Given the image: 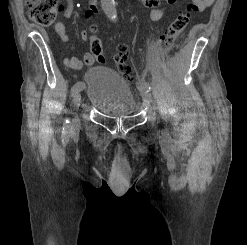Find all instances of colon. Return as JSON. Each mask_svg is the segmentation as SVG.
Returning a JSON list of instances; mask_svg holds the SVG:
<instances>
[{
    "mask_svg": "<svg viewBox=\"0 0 247 245\" xmlns=\"http://www.w3.org/2000/svg\"><path fill=\"white\" fill-rule=\"evenodd\" d=\"M28 6V13L31 20L42 25L50 26L54 23L57 11L59 7V0H25ZM197 9V5L190 4L187 9L182 11L177 17H175L170 24L166 27L164 32L159 37V44L165 51L169 50L177 37L187 27L191 14ZM94 31L95 29L92 28ZM90 50L101 63L105 62L103 55V48L100 40L92 36L90 39ZM127 49L124 45L116 47L113 54V60L115 62L118 72L126 78L131 77V67L126 62Z\"/></svg>",
    "mask_w": 247,
    "mask_h": 245,
    "instance_id": "5ec220e1",
    "label": "colon"
}]
</instances>
